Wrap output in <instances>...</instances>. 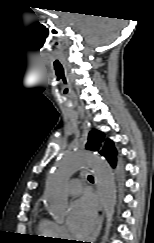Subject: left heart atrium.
<instances>
[{"instance_id":"obj_1","label":"left heart atrium","mask_w":154,"mask_h":243,"mask_svg":"<svg viewBox=\"0 0 154 243\" xmlns=\"http://www.w3.org/2000/svg\"><path fill=\"white\" fill-rule=\"evenodd\" d=\"M95 219L96 205L90 195H85L72 204L69 226L75 234L84 236L90 233L94 227Z\"/></svg>"}]
</instances>
